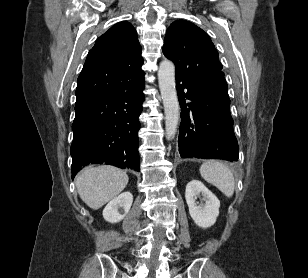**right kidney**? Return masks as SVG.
Instances as JSON below:
<instances>
[{"mask_svg": "<svg viewBox=\"0 0 308 278\" xmlns=\"http://www.w3.org/2000/svg\"><path fill=\"white\" fill-rule=\"evenodd\" d=\"M133 202L130 192H124L112 199L103 210V217L110 223H117L128 214Z\"/></svg>", "mask_w": 308, "mask_h": 278, "instance_id": "1", "label": "right kidney"}]
</instances>
